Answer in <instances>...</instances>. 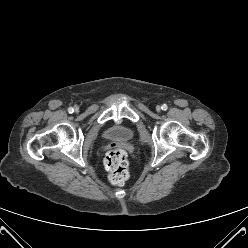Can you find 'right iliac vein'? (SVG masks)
I'll list each match as a JSON object with an SVG mask.
<instances>
[{"mask_svg":"<svg viewBox=\"0 0 248 248\" xmlns=\"http://www.w3.org/2000/svg\"><path fill=\"white\" fill-rule=\"evenodd\" d=\"M78 110H79V108L76 106V107H75V111L77 112Z\"/></svg>","mask_w":248,"mask_h":248,"instance_id":"right-iliac-vein-1","label":"right iliac vein"}]
</instances>
